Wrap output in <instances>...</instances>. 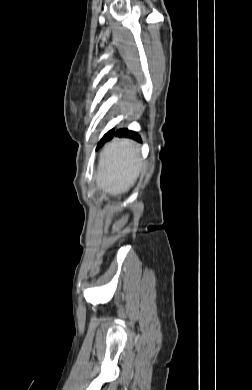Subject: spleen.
<instances>
[{
    "label": "spleen",
    "mask_w": 252,
    "mask_h": 390,
    "mask_svg": "<svg viewBox=\"0 0 252 390\" xmlns=\"http://www.w3.org/2000/svg\"><path fill=\"white\" fill-rule=\"evenodd\" d=\"M140 173L139 150L127 141L107 146L100 155L97 183L112 195L127 192Z\"/></svg>",
    "instance_id": "1"
}]
</instances>
